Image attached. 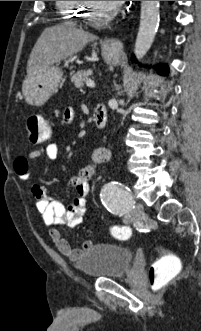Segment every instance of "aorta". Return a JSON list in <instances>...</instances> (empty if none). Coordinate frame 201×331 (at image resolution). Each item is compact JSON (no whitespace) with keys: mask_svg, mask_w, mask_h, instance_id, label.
<instances>
[{"mask_svg":"<svg viewBox=\"0 0 201 331\" xmlns=\"http://www.w3.org/2000/svg\"><path fill=\"white\" fill-rule=\"evenodd\" d=\"M159 24V1H141L140 26L135 42V56L141 60L150 49Z\"/></svg>","mask_w":201,"mask_h":331,"instance_id":"obj_1","label":"aorta"}]
</instances>
